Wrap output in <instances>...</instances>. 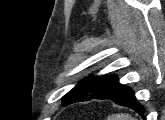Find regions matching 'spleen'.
<instances>
[{
	"label": "spleen",
	"instance_id": "1",
	"mask_svg": "<svg viewBox=\"0 0 165 120\" xmlns=\"http://www.w3.org/2000/svg\"><path fill=\"white\" fill-rule=\"evenodd\" d=\"M107 120H135L131 115L125 113L113 114L107 117Z\"/></svg>",
	"mask_w": 165,
	"mask_h": 120
}]
</instances>
